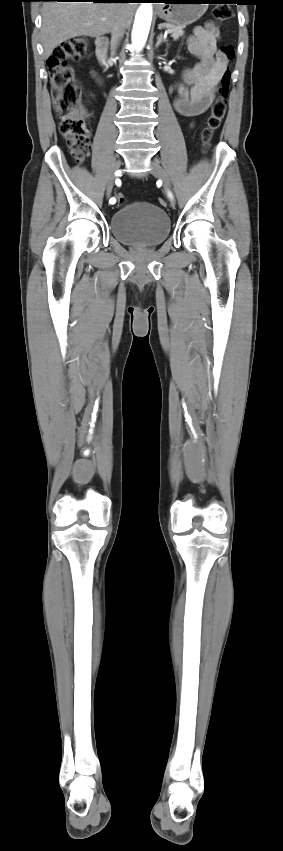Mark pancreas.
<instances>
[{
  "mask_svg": "<svg viewBox=\"0 0 283 851\" xmlns=\"http://www.w3.org/2000/svg\"><path fill=\"white\" fill-rule=\"evenodd\" d=\"M160 27H164L170 30L171 36L174 40H178L184 35V26H177L170 23H162L160 24Z\"/></svg>",
  "mask_w": 283,
  "mask_h": 851,
  "instance_id": "obj_1",
  "label": "pancreas"
}]
</instances>
